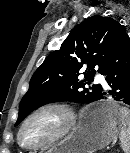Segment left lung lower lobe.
<instances>
[{
  "label": "left lung lower lobe",
  "instance_id": "obj_1",
  "mask_svg": "<svg viewBox=\"0 0 130 153\" xmlns=\"http://www.w3.org/2000/svg\"><path fill=\"white\" fill-rule=\"evenodd\" d=\"M100 73L106 76L111 88L109 94L115 100L130 105V39L125 31L113 44ZM102 91L98 100L104 99L107 94Z\"/></svg>",
  "mask_w": 130,
  "mask_h": 153
}]
</instances>
